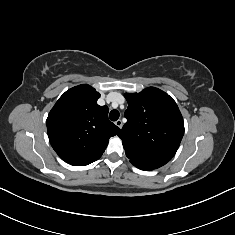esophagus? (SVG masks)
Instances as JSON below:
<instances>
[{"instance_id":"esophagus-1","label":"esophagus","mask_w":235,"mask_h":235,"mask_svg":"<svg viewBox=\"0 0 235 235\" xmlns=\"http://www.w3.org/2000/svg\"><path fill=\"white\" fill-rule=\"evenodd\" d=\"M115 125L121 129L122 126H123L122 120H121V119H118V120L115 122Z\"/></svg>"}]
</instances>
